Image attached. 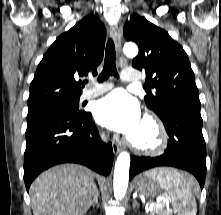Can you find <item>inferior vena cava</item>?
Masks as SVG:
<instances>
[{"mask_svg": "<svg viewBox=\"0 0 221 215\" xmlns=\"http://www.w3.org/2000/svg\"><path fill=\"white\" fill-rule=\"evenodd\" d=\"M101 137H102V139H103L104 141H107V140H108V137L105 136V134H101Z\"/></svg>", "mask_w": 221, "mask_h": 215, "instance_id": "obj_1", "label": "inferior vena cava"}]
</instances>
